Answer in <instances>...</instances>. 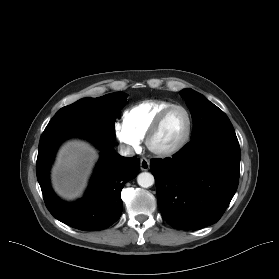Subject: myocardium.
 <instances>
[{"instance_id": "1", "label": "myocardium", "mask_w": 279, "mask_h": 279, "mask_svg": "<svg viewBox=\"0 0 279 279\" xmlns=\"http://www.w3.org/2000/svg\"><path fill=\"white\" fill-rule=\"evenodd\" d=\"M175 109H180L185 113L186 118H187L186 131H185L183 137L180 139V141L178 143H176L175 145H173L172 147L163 148V149L157 148L153 145L154 137L156 136L159 129L161 128L167 115ZM192 130H193V119H192V115H191L190 111L183 105L172 104V105L168 106L167 108H165L164 110H162L158 114V116L155 118V120L153 121L151 126L149 127L148 132L145 137L146 146L150 152H152L153 154H155L159 157L172 156V155L180 152L188 144V142L190 141L191 135H192Z\"/></svg>"}]
</instances>
